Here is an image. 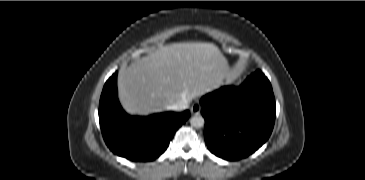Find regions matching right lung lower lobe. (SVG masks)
Masks as SVG:
<instances>
[{
	"instance_id": "1",
	"label": "right lung lower lobe",
	"mask_w": 365,
	"mask_h": 180,
	"mask_svg": "<svg viewBox=\"0 0 365 180\" xmlns=\"http://www.w3.org/2000/svg\"><path fill=\"white\" fill-rule=\"evenodd\" d=\"M188 110L147 117L130 116L117 97V72L105 83L99 103V122L105 143L131 161H152L168 147L176 130L188 119Z\"/></svg>"
}]
</instances>
